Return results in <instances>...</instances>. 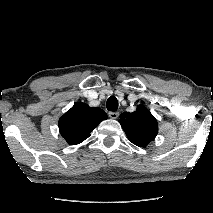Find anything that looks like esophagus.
<instances>
[{
    "label": "esophagus",
    "mask_w": 213,
    "mask_h": 213,
    "mask_svg": "<svg viewBox=\"0 0 213 213\" xmlns=\"http://www.w3.org/2000/svg\"><path fill=\"white\" fill-rule=\"evenodd\" d=\"M108 115L111 119H117L119 116V112H109Z\"/></svg>",
    "instance_id": "34e87169"
}]
</instances>
